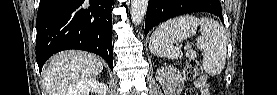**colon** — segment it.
<instances>
[{"mask_svg":"<svg viewBox=\"0 0 277 95\" xmlns=\"http://www.w3.org/2000/svg\"><path fill=\"white\" fill-rule=\"evenodd\" d=\"M201 71V64L197 60H190L184 66V75L189 80L194 79L197 75L201 73ZM185 94L192 95L196 94V92L193 89H188Z\"/></svg>","mask_w":277,"mask_h":95,"instance_id":"1","label":"colon"}]
</instances>
